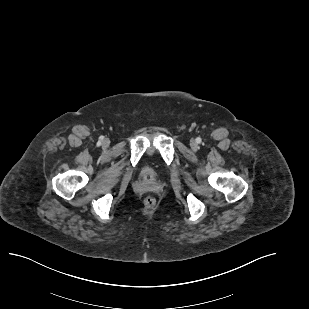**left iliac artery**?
Wrapping results in <instances>:
<instances>
[{"label": "left iliac artery", "mask_w": 309, "mask_h": 309, "mask_svg": "<svg viewBox=\"0 0 309 309\" xmlns=\"http://www.w3.org/2000/svg\"><path fill=\"white\" fill-rule=\"evenodd\" d=\"M197 140H198V142H200V141H201V139H200V138H198Z\"/></svg>", "instance_id": "44dca946"}]
</instances>
